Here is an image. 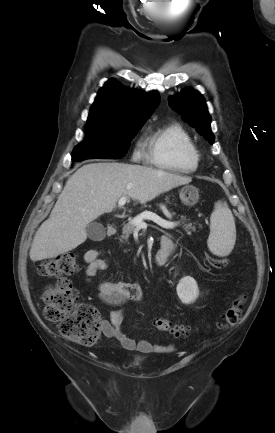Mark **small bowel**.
Wrapping results in <instances>:
<instances>
[{"label":"small bowel","instance_id":"obj_1","mask_svg":"<svg viewBox=\"0 0 275 433\" xmlns=\"http://www.w3.org/2000/svg\"><path fill=\"white\" fill-rule=\"evenodd\" d=\"M161 243H168L171 250L168 260L174 251V244L170 236L165 235ZM84 262L86 263L85 274L87 279H92L99 271L106 269L107 261L102 258L97 249H89L84 253ZM98 297L101 302L107 306H116L124 304L127 301H140L143 296L141 285L125 281H103L98 284ZM124 314L121 311L110 313L109 319L101 322L103 334L108 338H114L127 350H136L142 353H162L175 349V345H160L147 340L135 341L129 338L123 331Z\"/></svg>","mask_w":275,"mask_h":433}]
</instances>
